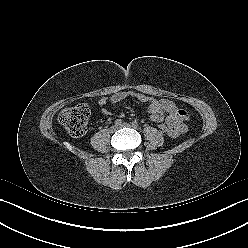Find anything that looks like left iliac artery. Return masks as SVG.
<instances>
[{
	"instance_id": "obj_1",
	"label": "left iliac artery",
	"mask_w": 248,
	"mask_h": 248,
	"mask_svg": "<svg viewBox=\"0 0 248 248\" xmlns=\"http://www.w3.org/2000/svg\"><path fill=\"white\" fill-rule=\"evenodd\" d=\"M132 126L136 128L138 126V123L136 121H134V122H132Z\"/></svg>"
}]
</instances>
